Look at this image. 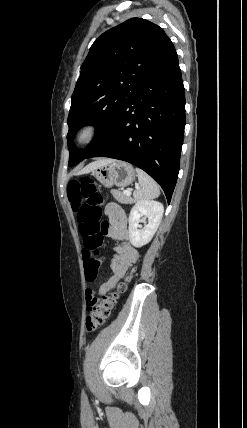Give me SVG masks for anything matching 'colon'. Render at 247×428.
Wrapping results in <instances>:
<instances>
[{"mask_svg":"<svg viewBox=\"0 0 247 428\" xmlns=\"http://www.w3.org/2000/svg\"><path fill=\"white\" fill-rule=\"evenodd\" d=\"M68 197L77 213L79 229L84 237L85 279L88 282H94L99 275L101 266L100 248L103 245L104 235L107 230V223L101 222L103 198L92 180L87 177L73 180L69 183ZM133 272L134 269L113 291L103 295L99 302L94 298L86 300L89 315L86 317L85 325L88 332H93L103 326L109 318L119 295L125 291Z\"/></svg>","mask_w":247,"mask_h":428,"instance_id":"1","label":"colon"}]
</instances>
